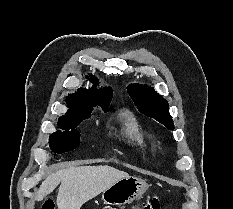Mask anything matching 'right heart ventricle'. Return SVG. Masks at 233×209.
<instances>
[{
    "label": "right heart ventricle",
    "instance_id": "1",
    "mask_svg": "<svg viewBox=\"0 0 233 209\" xmlns=\"http://www.w3.org/2000/svg\"><path fill=\"white\" fill-rule=\"evenodd\" d=\"M121 133L124 139L139 152H145L149 148V141L146 135L137 119L129 111L121 113Z\"/></svg>",
    "mask_w": 233,
    "mask_h": 209
}]
</instances>
